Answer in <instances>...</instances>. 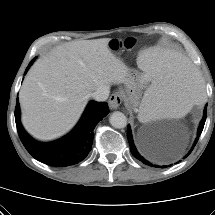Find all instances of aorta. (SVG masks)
Here are the masks:
<instances>
[{
    "label": "aorta",
    "mask_w": 215,
    "mask_h": 215,
    "mask_svg": "<svg viewBox=\"0 0 215 215\" xmlns=\"http://www.w3.org/2000/svg\"><path fill=\"white\" fill-rule=\"evenodd\" d=\"M109 121L114 128H118V129L124 128L127 125L126 116L119 111L113 112L110 115Z\"/></svg>",
    "instance_id": "1"
}]
</instances>
